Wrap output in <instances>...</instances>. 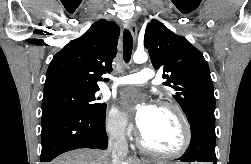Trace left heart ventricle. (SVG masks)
<instances>
[{
	"label": "left heart ventricle",
	"instance_id": "obj_1",
	"mask_svg": "<svg viewBox=\"0 0 251 164\" xmlns=\"http://www.w3.org/2000/svg\"><path fill=\"white\" fill-rule=\"evenodd\" d=\"M142 135L150 147L161 151H175L183 139L182 126L175 113L158 107Z\"/></svg>",
	"mask_w": 251,
	"mask_h": 164
}]
</instances>
